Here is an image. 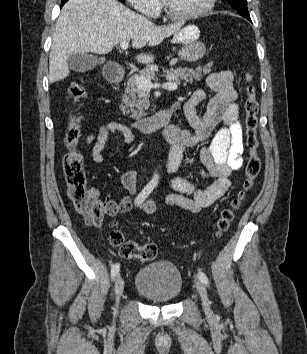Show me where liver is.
<instances>
[{
  "label": "liver",
  "mask_w": 307,
  "mask_h": 354,
  "mask_svg": "<svg viewBox=\"0 0 307 354\" xmlns=\"http://www.w3.org/2000/svg\"><path fill=\"white\" fill-rule=\"evenodd\" d=\"M183 23L156 26L117 0H69L56 22L49 55V82L66 78L72 54H107L123 41L132 47L157 46L177 33ZM140 63L153 62L150 54H139Z\"/></svg>",
  "instance_id": "obj_1"
}]
</instances>
